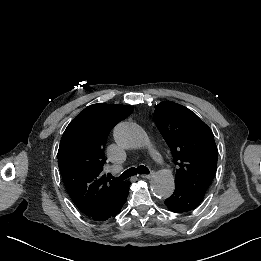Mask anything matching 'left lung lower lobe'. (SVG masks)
<instances>
[{"mask_svg": "<svg viewBox=\"0 0 261 261\" xmlns=\"http://www.w3.org/2000/svg\"><path fill=\"white\" fill-rule=\"evenodd\" d=\"M204 195L187 187L175 184L174 193L165 200L167 208L175 213L188 212L198 207Z\"/></svg>", "mask_w": 261, "mask_h": 261, "instance_id": "1", "label": "left lung lower lobe"}]
</instances>
